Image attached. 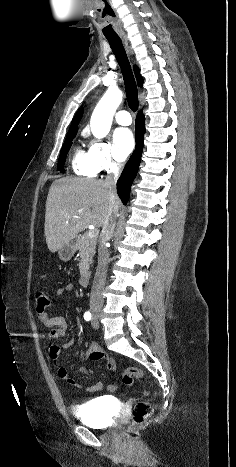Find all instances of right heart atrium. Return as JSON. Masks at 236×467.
Wrapping results in <instances>:
<instances>
[{"instance_id":"right-heart-atrium-1","label":"right heart atrium","mask_w":236,"mask_h":467,"mask_svg":"<svg viewBox=\"0 0 236 467\" xmlns=\"http://www.w3.org/2000/svg\"><path fill=\"white\" fill-rule=\"evenodd\" d=\"M88 157L92 167L99 172H112L119 168L120 160L117 158L113 147L101 140L90 142Z\"/></svg>"}]
</instances>
